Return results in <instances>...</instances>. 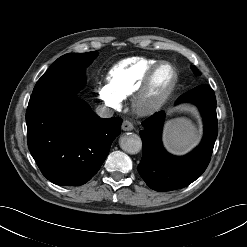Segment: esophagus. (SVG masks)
Listing matches in <instances>:
<instances>
[{"mask_svg":"<svg viewBox=\"0 0 247 247\" xmlns=\"http://www.w3.org/2000/svg\"><path fill=\"white\" fill-rule=\"evenodd\" d=\"M133 129H134V126L130 121H128V120L123 121V123H122V130L123 131H131Z\"/></svg>","mask_w":247,"mask_h":247,"instance_id":"1","label":"esophagus"}]
</instances>
